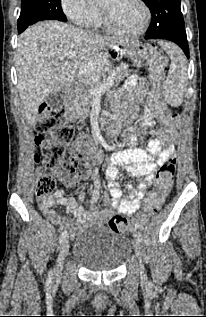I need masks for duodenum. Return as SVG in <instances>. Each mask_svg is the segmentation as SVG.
<instances>
[{"mask_svg":"<svg viewBox=\"0 0 206 317\" xmlns=\"http://www.w3.org/2000/svg\"><path fill=\"white\" fill-rule=\"evenodd\" d=\"M75 102L74 100H66L65 102V110L66 111H69V113L71 115H74L76 113V110H75ZM109 132L111 135H114L116 132H118L119 130V126H118V123L117 122H113L109 128H108Z\"/></svg>","mask_w":206,"mask_h":317,"instance_id":"duodenum-1","label":"duodenum"}]
</instances>
